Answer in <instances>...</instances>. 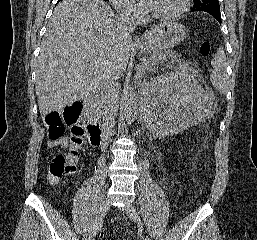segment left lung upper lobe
Instances as JSON below:
<instances>
[{
    "mask_svg": "<svg viewBox=\"0 0 257 240\" xmlns=\"http://www.w3.org/2000/svg\"><path fill=\"white\" fill-rule=\"evenodd\" d=\"M191 11H217L220 12L218 0H194Z\"/></svg>",
    "mask_w": 257,
    "mask_h": 240,
    "instance_id": "1",
    "label": "left lung upper lobe"
}]
</instances>
